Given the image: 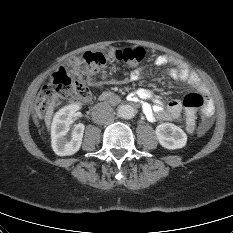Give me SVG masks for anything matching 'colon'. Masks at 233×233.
<instances>
[{
  "label": "colon",
  "mask_w": 233,
  "mask_h": 233,
  "mask_svg": "<svg viewBox=\"0 0 233 233\" xmlns=\"http://www.w3.org/2000/svg\"><path fill=\"white\" fill-rule=\"evenodd\" d=\"M145 57V50L142 47H128L117 49L114 58L131 66L138 65ZM84 61L90 75H94L104 66L106 59L101 53H86ZM59 98L69 99L75 104H83L90 100L91 91L83 83L73 79L66 70L60 69L53 74L51 81L39 92L36 100V111L39 115L46 113L54 102ZM205 98L199 93H190L183 99V106L186 110L187 122H195L197 110L203 108Z\"/></svg>",
  "instance_id": "5ec220e1"
}]
</instances>
